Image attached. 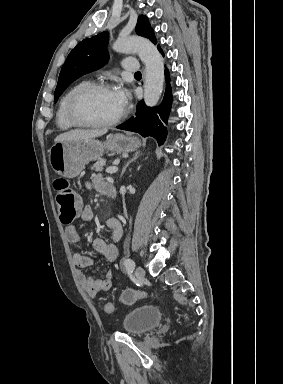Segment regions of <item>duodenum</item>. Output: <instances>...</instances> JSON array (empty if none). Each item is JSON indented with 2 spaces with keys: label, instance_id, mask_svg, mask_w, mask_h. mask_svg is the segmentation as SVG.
<instances>
[{
  "label": "duodenum",
  "instance_id": "obj_1",
  "mask_svg": "<svg viewBox=\"0 0 283 384\" xmlns=\"http://www.w3.org/2000/svg\"><path fill=\"white\" fill-rule=\"evenodd\" d=\"M104 193H105L106 195H108L109 197H111V198H115V197H116V189H115V187H114L113 185H111V184H108V185L106 186Z\"/></svg>",
  "mask_w": 283,
  "mask_h": 384
}]
</instances>
